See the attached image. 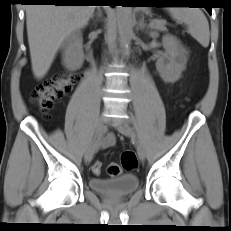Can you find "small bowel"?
Masks as SVG:
<instances>
[{
    "label": "small bowel",
    "instance_id": "1",
    "mask_svg": "<svg viewBox=\"0 0 231 231\" xmlns=\"http://www.w3.org/2000/svg\"><path fill=\"white\" fill-rule=\"evenodd\" d=\"M115 142V137L113 134L106 135L101 141L99 146L103 149L109 148Z\"/></svg>",
    "mask_w": 231,
    "mask_h": 231
}]
</instances>
